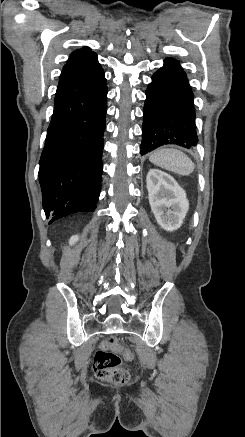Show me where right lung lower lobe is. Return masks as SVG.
Masks as SVG:
<instances>
[{
    "instance_id": "obj_1",
    "label": "right lung lower lobe",
    "mask_w": 245,
    "mask_h": 437,
    "mask_svg": "<svg viewBox=\"0 0 245 437\" xmlns=\"http://www.w3.org/2000/svg\"><path fill=\"white\" fill-rule=\"evenodd\" d=\"M106 111V79L87 90L55 97L39 169L49 224L96 209Z\"/></svg>"
}]
</instances>
